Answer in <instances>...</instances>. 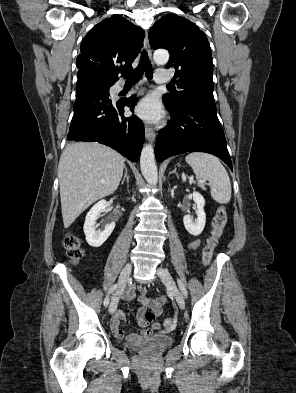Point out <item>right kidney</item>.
I'll use <instances>...</instances> for the list:
<instances>
[{
	"instance_id": "right-kidney-1",
	"label": "right kidney",
	"mask_w": 296,
	"mask_h": 393,
	"mask_svg": "<svg viewBox=\"0 0 296 393\" xmlns=\"http://www.w3.org/2000/svg\"><path fill=\"white\" fill-rule=\"evenodd\" d=\"M107 208V202L100 200L97 202L87 213L84 223V233L86 236L87 243L92 247H100L111 235L115 228V222H111L105 226L103 231H96L95 225L96 220L102 212H105Z\"/></svg>"
}]
</instances>
